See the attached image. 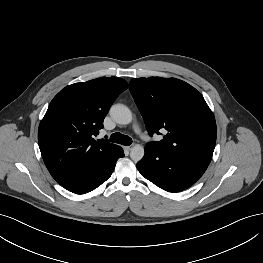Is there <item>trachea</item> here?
I'll return each mask as SVG.
<instances>
[{
  "label": "trachea",
  "instance_id": "3493384b",
  "mask_svg": "<svg viewBox=\"0 0 263 263\" xmlns=\"http://www.w3.org/2000/svg\"><path fill=\"white\" fill-rule=\"evenodd\" d=\"M110 141L113 143H118V144H122L125 146H129L132 143V139L129 136L123 135L119 132L112 134L110 136Z\"/></svg>",
  "mask_w": 263,
  "mask_h": 263
}]
</instances>
